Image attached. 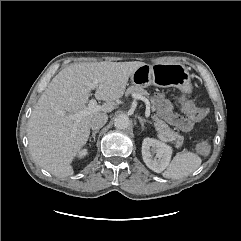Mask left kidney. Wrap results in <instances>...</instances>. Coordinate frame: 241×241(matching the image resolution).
Segmentation results:
<instances>
[{
    "mask_svg": "<svg viewBox=\"0 0 241 241\" xmlns=\"http://www.w3.org/2000/svg\"><path fill=\"white\" fill-rule=\"evenodd\" d=\"M172 148L165 143L145 138L142 143V157L146 166L156 173H161L169 164Z\"/></svg>",
    "mask_w": 241,
    "mask_h": 241,
    "instance_id": "5707ae66",
    "label": "left kidney"
}]
</instances>
